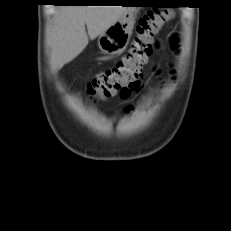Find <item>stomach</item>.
Segmentation results:
<instances>
[{
	"label": "stomach",
	"mask_w": 231,
	"mask_h": 231,
	"mask_svg": "<svg viewBox=\"0 0 231 231\" xmlns=\"http://www.w3.org/2000/svg\"><path fill=\"white\" fill-rule=\"evenodd\" d=\"M136 8L124 13L113 25L98 38V46L106 55H119L127 47L135 24Z\"/></svg>",
	"instance_id": "obj_1"
}]
</instances>
